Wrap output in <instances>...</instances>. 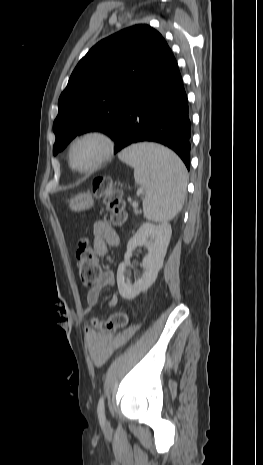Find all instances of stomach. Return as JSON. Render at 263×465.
I'll list each match as a JSON object with an SVG mask.
<instances>
[{"instance_id": "stomach-1", "label": "stomach", "mask_w": 263, "mask_h": 465, "mask_svg": "<svg viewBox=\"0 0 263 465\" xmlns=\"http://www.w3.org/2000/svg\"><path fill=\"white\" fill-rule=\"evenodd\" d=\"M94 200L90 193H81L73 197L69 201V207L71 210L79 212L92 208Z\"/></svg>"}]
</instances>
